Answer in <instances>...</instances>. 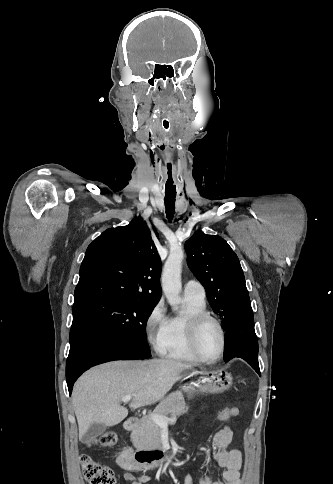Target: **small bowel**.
I'll return each instance as SVG.
<instances>
[{
  "instance_id": "c3829d8e",
  "label": "small bowel",
  "mask_w": 333,
  "mask_h": 484,
  "mask_svg": "<svg viewBox=\"0 0 333 484\" xmlns=\"http://www.w3.org/2000/svg\"><path fill=\"white\" fill-rule=\"evenodd\" d=\"M240 413L239 408L231 407L227 419L236 417ZM233 432L228 426H222L212 437L211 456L214 463L223 469L221 479L213 480L207 474L200 475V484H241L240 469L242 464L241 452L237 449L229 450L232 442ZM125 479L130 484H143L148 481V477L137 478L130 473L124 474ZM184 484H192L191 475H187Z\"/></svg>"
}]
</instances>
